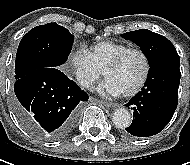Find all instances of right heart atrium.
<instances>
[{"label": "right heart atrium", "mask_w": 190, "mask_h": 165, "mask_svg": "<svg viewBox=\"0 0 190 165\" xmlns=\"http://www.w3.org/2000/svg\"><path fill=\"white\" fill-rule=\"evenodd\" d=\"M68 64L78 83L85 88H91L102 75V70L96 65L85 47L72 51L68 58Z\"/></svg>", "instance_id": "d8ad5b80"}]
</instances>
